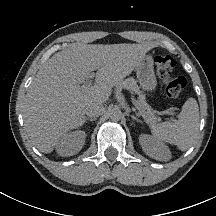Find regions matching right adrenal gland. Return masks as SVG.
<instances>
[{
	"instance_id": "right-adrenal-gland-1",
	"label": "right adrenal gland",
	"mask_w": 216,
	"mask_h": 216,
	"mask_svg": "<svg viewBox=\"0 0 216 216\" xmlns=\"http://www.w3.org/2000/svg\"><path fill=\"white\" fill-rule=\"evenodd\" d=\"M97 119V117H93V118H86L85 122L87 123L88 121H95Z\"/></svg>"
}]
</instances>
